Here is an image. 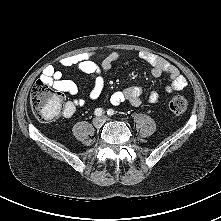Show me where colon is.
I'll list each match as a JSON object with an SVG mask.
<instances>
[{
	"label": "colon",
	"mask_w": 221,
	"mask_h": 221,
	"mask_svg": "<svg viewBox=\"0 0 221 221\" xmlns=\"http://www.w3.org/2000/svg\"><path fill=\"white\" fill-rule=\"evenodd\" d=\"M30 106L33 114L41 121H51L63 111L64 100L60 92L52 90L47 84L38 82L30 95ZM170 110L181 115L187 111L188 103L181 96H174L169 101Z\"/></svg>",
	"instance_id": "5ec220e1"
}]
</instances>
